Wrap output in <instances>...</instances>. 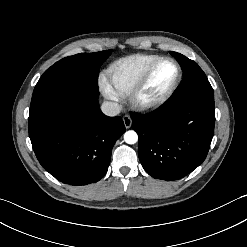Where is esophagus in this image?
Listing matches in <instances>:
<instances>
[{
	"mask_svg": "<svg viewBox=\"0 0 247 247\" xmlns=\"http://www.w3.org/2000/svg\"><path fill=\"white\" fill-rule=\"evenodd\" d=\"M123 122H124V125H125V127H126L127 129L130 128L131 125H132V119H131V117H130L129 115H125V116L123 117Z\"/></svg>",
	"mask_w": 247,
	"mask_h": 247,
	"instance_id": "1",
	"label": "esophagus"
}]
</instances>
